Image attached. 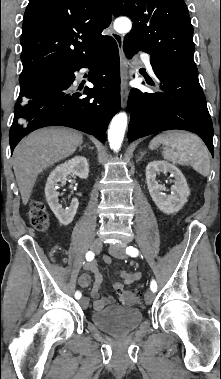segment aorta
Wrapping results in <instances>:
<instances>
[{
  "mask_svg": "<svg viewBox=\"0 0 221 379\" xmlns=\"http://www.w3.org/2000/svg\"><path fill=\"white\" fill-rule=\"evenodd\" d=\"M131 27V21L126 17L117 18L114 22V29L119 33H127L131 30ZM126 127L127 114L125 112L116 114L108 129L109 146L115 152H118L121 148Z\"/></svg>",
  "mask_w": 221,
  "mask_h": 379,
  "instance_id": "762f6f07",
  "label": "aorta"
}]
</instances>
